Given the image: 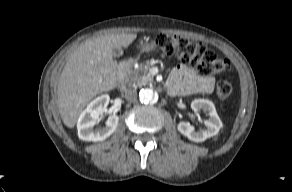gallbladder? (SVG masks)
<instances>
[{
	"label": "gallbladder",
	"instance_id": "1",
	"mask_svg": "<svg viewBox=\"0 0 292 192\" xmlns=\"http://www.w3.org/2000/svg\"><path fill=\"white\" fill-rule=\"evenodd\" d=\"M123 54V50L120 47H115L112 49V55L113 57H120Z\"/></svg>",
	"mask_w": 292,
	"mask_h": 192
}]
</instances>
